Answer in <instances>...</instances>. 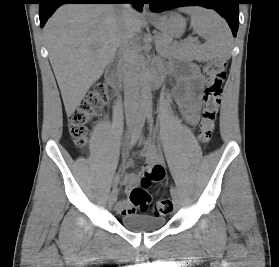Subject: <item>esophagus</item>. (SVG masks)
I'll return each mask as SVG.
<instances>
[{
    "mask_svg": "<svg viewBox=\"0 0 279 267\" xmlns=\"http://www.w3.org/2000/svg\"><path fill=\"white\" fill-rule=\"evenodd\" d=\"M143 13H144V15L147 16V17L153 16V13L150 11L149 5H148L147 3L144 4Z\"/></svg>",
    "mask_w": 279,
    "mask_h": 267,
    "instance_id": "34e87169",
    "label": "esophagus"
}]
</instances>
